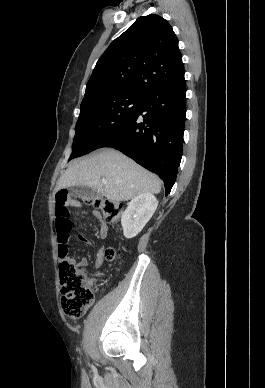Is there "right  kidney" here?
I'll return each instance as SVG.
<instances>
[{
    "label": "right kidney",
    "instance_id": "1",
    "mask_svg": "<svg viewBox=\"0 0 265 388\" xmlns=\"http://www.w3.org/2000/svg\"><path fill=\"white\" fill-rule=\"evenodd\" d=\"M157 206L158 200L153 194H139L133 198L121 218L125 238H135L152 218Z\"/></svg>",
    "mask_w": 265,
    "mask_h": 388
}]
</instances>
